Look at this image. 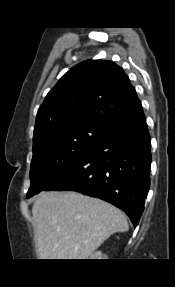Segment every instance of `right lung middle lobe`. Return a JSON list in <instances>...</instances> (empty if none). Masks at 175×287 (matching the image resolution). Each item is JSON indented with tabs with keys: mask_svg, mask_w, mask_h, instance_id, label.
I'll use <instances>...</instances> for the list:
<instances>
[{
	"mask_svg": "<svg viewBox=\"0 0 175 287\" xmlns=\"http://www.w3.org/2000/svg\"><path fill=\"white\" fill-rule=\"evenodd\" d=\"M109 125L97 122L63 125L33 140L31 186L27 198L82 158L107 133Z\"/></svg>",
	"mask_w": 175,
	"mask_h": 287,
	"instance_id": "dd1d6c3e",
	"label": "right lung middle lobe"
}]
</instances>
